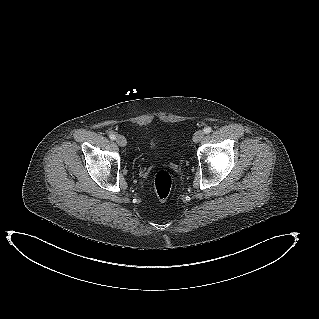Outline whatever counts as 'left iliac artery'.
<instances>
[{
	"label": "left iliac artery",
	"instance_id": "obj_1",
	"mask_svg": "<svg viewBox=\"0 0 319 319\" xmlns=\"http://www.w3.org/2000/svg\"><path fill=\"white\" fill-rule=\"evenodd\" d=\"M203 131L205 134H209L212 131V129L211 127H206Z\"/></svg>",
	"mask_w": 319,
	"mask_h": 319
}]
</instances>
